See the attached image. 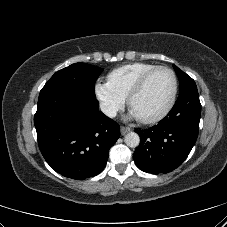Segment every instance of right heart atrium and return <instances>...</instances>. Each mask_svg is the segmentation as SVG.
<instances>
[{"mask_svg": "<svg viewBox=\"0 0 227 227\" xmlns=\"http://www.w3.org/2000/svg\"><path fill=\"white\" fill-rule=\"evenodd\" d=\"M94 92L102 111L107 116H114L125 103V99L116 93L108 82H97L94 86Z\"/></svg>", "mask_w": 227, "mask_h": 227, "instance_id": "right-heart-atrium-1", "label": "right heart atrium"}]
</instances>
